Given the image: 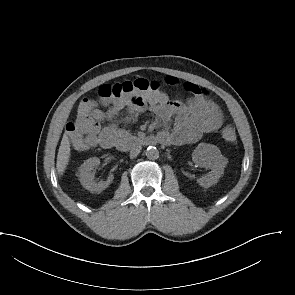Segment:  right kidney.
<instances>
[{
    "label": "right kidney",
    "instance_id": "obj_1",
    "mask_svg": "<svg viewBox=\"0 0 295 295\" xmlns=\"http://www.w3.org/2000/svg\"><path fill=\"white\" fill-rule=\"evenodd\" d=\"M99 165L100 159L93 157L86 160L79 169L80 183L85 189L91 192L101 193L112 183L114 179L113 175H110L106 181L96 183L94 180V168H97Z\"/></svg>",
    "mask_w": 295,
    "mask_h": 295
}]
</instances>
